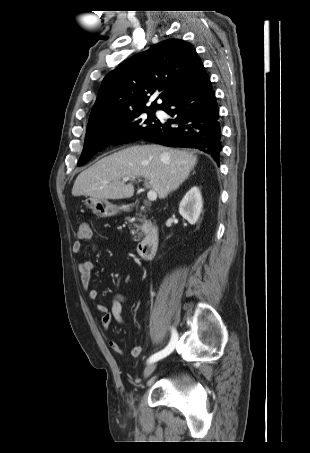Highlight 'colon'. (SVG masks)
<instances>
[{
	"label": "colon",
	"mask_w": 310,
	"mask_h": 453,
	"mask_svg": "<svg viewBox=\"0 0 310 453\" xmlns=\"http://www.w3.org/2000/svg\"><path fill=\"white\" fill-rule=\"evenodd\" d=\"M78 236L81 239H87L91 236V229L87 222H81L78 228Z\"/></svg>",
	"instance_id": "5ec220e1"
}]
</instances>
